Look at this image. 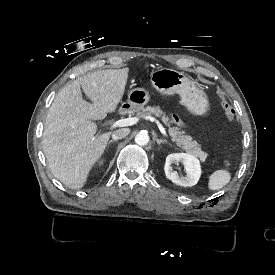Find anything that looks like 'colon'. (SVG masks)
Segmentation results:
<instances>
[{
    "mask_svg": "<svg viewBox=\"0 0 275 275\" xmlns=\"http://www.w3.org/2000/svg\"><path fill=\"white\" fill-rule=\"evenodd\" d=\"M220 104H221L222 109L225 110L226 115H227L229 121H231L232 123H234L236 121V119H237L235 109L230 105L229 101L226 100L223 96H220ZM226 166L228 168H232L234 166V160L232 158H230L226 162Z\"/></svg>",
    "mask_w": 275,
    "mask_h": 275,
    "instance_id": "obj_1",
    "label": "colon"
}]
</instances>
